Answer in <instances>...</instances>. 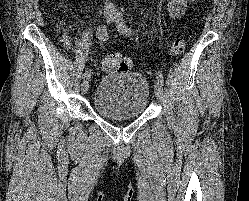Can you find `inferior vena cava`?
I'll list each match as a JSON object with an SVG mask.
<instances>
[{"instance_id":"1","label":"inferior vena cava","mask_w":249,"mask_h":201,"mask_svg":"<svg viewBox=\"0 0 249 201\" xmlns=\"http://www.w3.org/2000/svg\"><path fill=\"white\" fill-rule=\"evenodd\" d=\"M106 6H110V4H108V0H106Z\"/></svg>"}]
</instances>
